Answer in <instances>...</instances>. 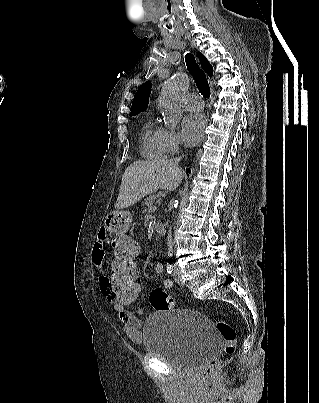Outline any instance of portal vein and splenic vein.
I'll return each instance as SVG.
<instances>
[{
	"mask_svg": "<svg viewBox=\"0 0 319 403\" xmlns=\"http://www.w3.org/2000/svg\"><path fill=\"white\" fill-rule=\"evenodd\" d=\"M157 209V207L156 206H152V207H150V210H152V211H155Z\"/></svg>",
	"mask_w": 319,
	"mask_h": 403,
	"instance_id": "portal-vein-and-splenic-vein-1",
	"label": "portal vein and splenic vein"
}]
</instances>
